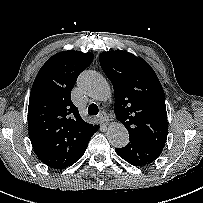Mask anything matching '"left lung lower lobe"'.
<instances>
[{"instance_id": "left-lung-lower-lobe-1", "label": "left lung lower lobe", "mask_w": 203, "mask_h": 203, "mask_svg": "<svg viewBox=\"0 0 203 203\" xmlns=\"http://www.w3.org/2000/svg\"><path fill=\"white\" fill-rule=\"evenodd\" d=\"M116 153L134 166H145L153 163L162 150L149 146L137 139L129 138V144L116 148Z\"/></svg>"}]
</instances>
